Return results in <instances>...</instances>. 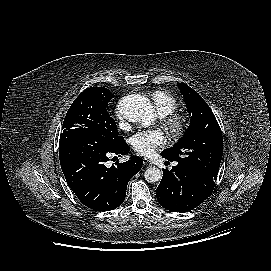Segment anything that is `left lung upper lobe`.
<instances>
[{
	"label": "left lung upper lobe",
	"mask_w": 271,
	"mask_h": 271,
	"mask_svg": "<svg viewBox=\"0 0 271 271\" xmlns=\"http://www.w3.org/2000/svg\"><path fill=\"white\" fill-rule=\"evenodd\" d=\"M191 116L184 137L173 147L162 151V156L179 165L194 169L216 180L223 154L220 126L203 98L184 83L178 84Z\"/></svg>",
	"instance_id": "left-lung-upper-lobe-1"
}]
</instances>
